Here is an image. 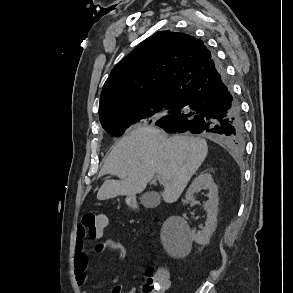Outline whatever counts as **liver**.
Listing matches in <instances>:
<instances>
[{
    "label": "liver",
    "instance_id": "6515ba94",
    "mask_svg": "<svg viewBox=\"0 0 293 293\" xmlns=\"http://www.w3.org/2000/svg\"><path fill=\"white\" fill-rule=\"evenodd\" d=\"M208 153L205 139L176 135L168 138L153 126H139L120 139L106 158L100 175L106 179L98 200L141 193L155 175L164 177L162 197L166 203L178 200Z\"/></svg>",
    "mask_w": 293,
    "mask_h": 293
}]
</instances>
